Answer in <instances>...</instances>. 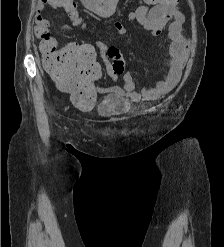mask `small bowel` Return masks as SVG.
<instances>
[{
	"label": "small bowel",
	"mask_w": 224,
	"mask_h": 247,
	"mask_svg": "<svg viewBox=\"0 0 224 247\" xmlns=\"http://www.w3.org/2000/svg\"><path fill=\"white\" fill-rule=\"evenodd\" d=\"M61 0H37L36 2V34L40 38V50L47 56L48 46L42 38L44 33H48L51 23L44 17L46 7L54 9L60 8ZM86 8L94 12L102 18H109L115 12L116 3L118 0H81ZM179 1V0H178ZM178 2L169 6H152L141 5L128 14L130 21L136 22L144 29L150 31L154 36H158L165 26H168L167 38L170 45L165 52L167 56L166 70L162 79L153 86L143 87L137 91L135 89V81L130 72L123 75V87L114 88L113 91L120 95L129 98L133 102L140 100H151L162 97L169 93L179 82L182 70L186 63L189 53V40L184 34L185 16L178 8ZM114 29L121 35L126 33V28L122 22L115 20L113 22ZM63 31L69 32L71 28L68 26L62 27ZM95 47L105 53L108 49L103 42H97ZM109 72L113 79H117L111 68Z\"/></svg>",
	"instance_id": "small-bowel-1"
}]
</instances>
